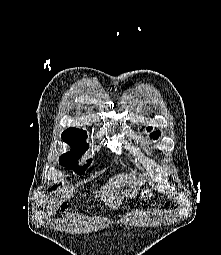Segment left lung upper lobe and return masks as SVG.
Segmentation results:
<instances>
[{"label":"left lung upper lobe","instance_id":"obj_1","mask_svg":"<svg viewBox=\"0 0 221 255\" xmlns=\"http://www.w3.org/2000/svg\"><path fill=\"white\" fill-rule=\"evenodd\" d=\"M151 129H152L151 127L147 128L148 131H151ZM159 135H160V131H156V132L151 133L150 136L153 137L154 139H158Z\"/></svg>","mask_w":221,"mask_h":255}]
</instances>
